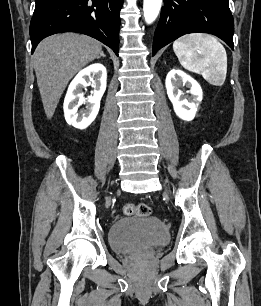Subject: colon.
Returning a JSON list of instances; mask_svg holds the SVG:
<instances>
[{
  "label": "colon",
  "instance_id": "colon-1",
  "mask_svg": "<svg viewBox=\"0 0 261 306\" xmlns=\"http://www.w3.org/2000/svg\"><path fill=\"white\" fill-rule=\"evenodd\" d=\"M123 213L128 216H148L151 213V209L147 204H133L127 203L123 206Z\"/></svg>",
  "mask_w": 261,
  "mask_h": 306
}]
</instances>
